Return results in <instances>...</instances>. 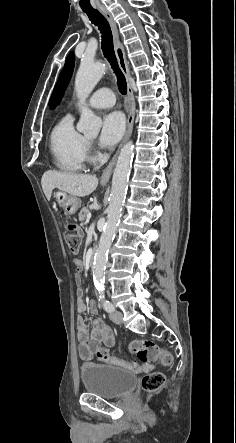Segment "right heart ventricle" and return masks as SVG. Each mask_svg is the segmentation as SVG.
I'll return each instance as SVG.
<instances>
[{"mask_svg": "<svg viewBox=\"0 0 236 443\" xmlns=\"http://www.w3.org/2000/svg\"><path fill=\"white\" fill-rule=\"evenodd\" d=\"M86 139L75 129L73 118L64 116L53 127L49 149L54 165L64 172H80L86 165Z\"/></svg>", "mask_w": 236, "mask_h": 443, "instance_id": "right-heart-ventricle-1", "label": "right heart ventricle"}]
</instances>
